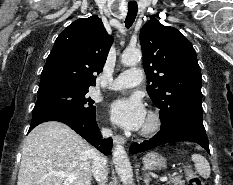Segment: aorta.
Returning a JSON list of instances; mask_svg holds the SVG:
<instances>
[{
    "instance_id": "1",
    "label": "aorta",
    "mask_w": 233,
    "mask_h": 185,
    "mask_svg": "<svg viewBox=\"0 0 233 185\" xmlns=\"http://www.w3.org/2000/svg\"><path fill=\"white\" fill-rule=\"evenodd\" d=\"M142 57L139 49H126L121 56L122 64L126 66L136 65ZM113 161L116 172L124 185H133V171L131 163L124 147L121 144L116 145L113 151Z\"/></svg>"
}]
</instances>
